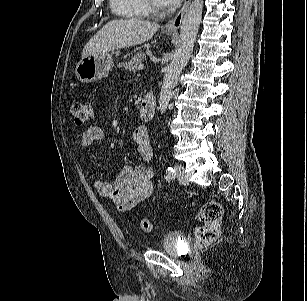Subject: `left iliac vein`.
<instances>
[{"label": "left iliac vein", "mask_w": 307, "mask_h": 301, "mask_svg": "<svg viewBox=\"0 0 307 301\" xmlns=\"http://www.w3.org/2000/svg\"><path fill=\"white\" fill-rule=\"evenodd\" d=\"M175 171H176V174H177L178 181L183 185L188 184L187 176L184 173V167L181 164L175 165Z\"/></svg>", "instance_id": "4c4485c4"}]
</instances>
